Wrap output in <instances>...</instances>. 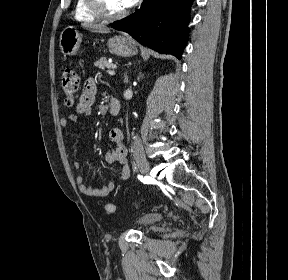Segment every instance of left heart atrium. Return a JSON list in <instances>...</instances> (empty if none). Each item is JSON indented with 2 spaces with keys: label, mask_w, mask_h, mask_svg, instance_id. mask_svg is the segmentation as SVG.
Masks as SVG:
<instances>
[{
  "label": "left heart atrium",
  "mask_w": 288,
  "mask_h": 280,
  "mask_svg": "<svg viewBox=\"0 0 288 280\" xmlns=\"http://www.w3.org/2000/svg\"><path fill=\"white\" fill-rule=\"evenodd\" d=\"M137 0H121L124 8H129L136 3Z\"/></svg>",
  "instance_id": "left-heart-atrium-1"
}]
</instances>
